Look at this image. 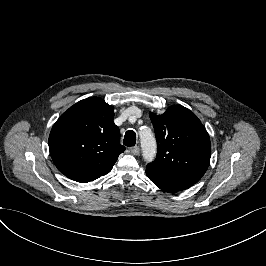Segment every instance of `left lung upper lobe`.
Returning <instances> with one entry per match:
<instances>
[{"label":"left lung upper lobe","mask_w":266,"mask_h":266,"mask_svg":"<svg viewBox=\"0 0 266 266\" xmlns=\"http://www.w3.org/2000/svg\"><path fill=\"white\" fill-rule=\"evenodd\" d=\"M157 139L156 159L146 173L189 188L206 172L211 156L209 135L193 112L170 106L162 115L150 113Z\"/></svg>","instance_id":"5c2ea615"}]
</instances>
